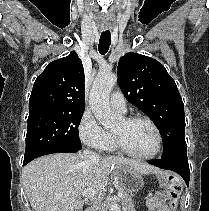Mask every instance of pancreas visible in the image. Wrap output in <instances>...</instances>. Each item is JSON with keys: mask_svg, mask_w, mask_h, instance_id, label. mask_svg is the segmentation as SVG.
Returning <instances> with one entry per match:
<instances>
[{"mask_svg": "<svg viewBox=\"0 0 209 211\" xmlns=\"http://www.w3.org/2000/svg\"><path fill=\"white\" fill-rule=\"evenodd\" d=\"M122 193H123V196L120 197V200L123 206V211H135L134 209L135 205L131 196L125 191H122ZM105 207H106V202H104L102 199H98L95 202V205L92 211H106Z\"/></svg>", "mask_w": 209, "mask_h": 211, "instance_id": "cf45deb5", "label": "pancreas"}]
</instances>
